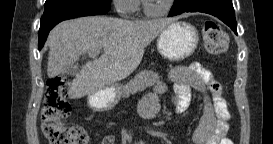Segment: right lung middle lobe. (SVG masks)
<instances>
[{
  "label": "right lung middle lobe",
  "instance_id": "dd1d6c3e",
  "mask_svg": "<svg viewBox=\"0 0 273 144\" xmlns=\"http://www.w3.org/2000/svg\"><path fill=\"white\" fill-rule=\"evenodd\" d=\"M58 1H63V0H46L44 8H47L48 6H50L51 4L58 2ZM103 1H107V2H111V0H103Z\"/></svg>",
  "mask_w": 273,
  "mask_h": 144
}]
</instances>
